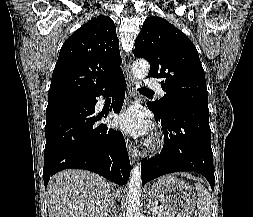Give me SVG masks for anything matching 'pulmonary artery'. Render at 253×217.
I'll return each instance as SVG.
<instances>
[{
	"instance_id": "obj_1",
	"label": "pulmonary artery",
	"mask_w": 253,
	"mask_h": 217,
	"mask_svg": "<svg viewBox=\"0 0 253 217\" xmlns=\"http://www.w3.org/2000/svg\"><path fill=\"white\" fill-rule=\"evenodd\" d=\"M145 84L150 90H154L158 92L160 95L164 94V91L162 90L160 84L157 81L152 80V79H147Z\"/></svg>"
}]
</instances>
